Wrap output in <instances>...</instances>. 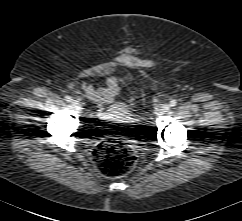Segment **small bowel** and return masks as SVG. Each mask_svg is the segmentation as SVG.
I'll use <instances>...</instances> for the list:
<instances>
[{
  "instance_id": "c3829d8e",
  "label": "small bowel",
  "mask_w": 242,
  "mask_h": 221,
  "mask_svg": "<svg viewBox=\"0 0 242 221\" xmlns=\"http://www.w3.org/2000/svg\"><path fill=\"white\" fill-rule=\"evenodd\" d=\"M122 76H110L106 80V86L102 88H95L90 83H83L80 87L82 93L91 101L98 105L94 113V119L98 122L107 121L115 113L123 112L118 103L115 102L120 84L122 83ZM109 105V108L106 106Z\"/></svg>"
}]
</instances>
